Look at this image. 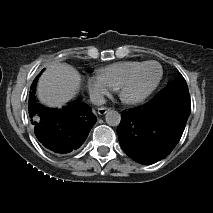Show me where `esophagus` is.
<instances>
[{
  "label": "esophagus",
  "mask_w": 213,
  "mask_h": 213,
  "mask_svg": "<svg viewBox=\"0 0 213 213\" xmlns=\"http://www.w3.org/2000/svg\"><path fill=\"white\" fill-rule=\"evenodd\" d=\"M109 110V108H107V107H100V108H98V114L99 115H104V114H106V112Z\"/></svg>",
  "instance_id": "34e87169"
}]
</instances>
